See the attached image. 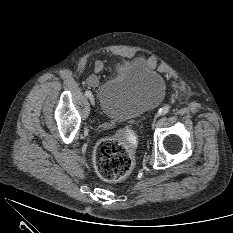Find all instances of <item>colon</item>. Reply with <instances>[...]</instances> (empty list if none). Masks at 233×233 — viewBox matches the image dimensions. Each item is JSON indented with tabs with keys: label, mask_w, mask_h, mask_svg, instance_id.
I'll return each instance as SVG.
<instances>
[{
	"label": "colon",
	"mask_w": 233,
	"mask_h": 233,
	"mask_svg": "<svg viewBox=\"0 0 233 233\" xmlns=\"http://www.w3.org/2000/svg\"><path fill=\"white\" fill-rule=\"evenodd\" d=\"M136 137L131 129L118 136L101 139L94 150V165L99 177L106 182H119L129 176L134 167Z\"/></svg>",
	"instance_id": "colon-1"
}]
</instances>
